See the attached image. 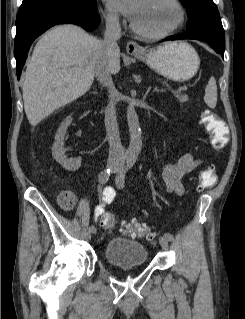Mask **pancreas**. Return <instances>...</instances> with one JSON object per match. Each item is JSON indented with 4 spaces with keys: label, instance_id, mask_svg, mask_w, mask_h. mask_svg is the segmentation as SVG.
I'll list each match as a JSON object with an SVG mask.
<instances>
[{
    "label": "pancreas",
    "instance_id": "pancreas-1",
    "mask_svg": "<svg viewBox=\"0 0 245 319\" xmlns=\"http://www.w3.org/2000/svg\"><path fill=\"white\" fill-rule=\"evenodd\" d=\"M175 97L179 100L180 103L188 101V96L186 94L177 93L175 94Z\"/></svg>",
    "mask_w": 245,
    "mask_h": 319
}]
</instances>
